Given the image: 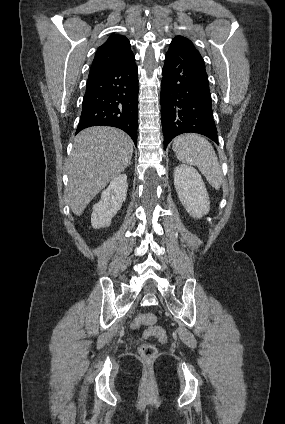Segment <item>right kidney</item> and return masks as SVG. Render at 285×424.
I'll return each mask as SVG.
<instances>
[{"label": "right kidney", "mask_w": 285, "mask_h": 424, "mask_svg": "<svg viewBox=\"0 0 285 424\" xmlns=\"http://www.w3.org/2000/svg\"><path fill=\"white\" fill-rule=\"evenodd\" d=\"M127 176L120 174L112 179L109 186L101 194V199L93 205L91 224L95 229L110 226L112 218L121 209L126 199Z\"/></svg>", "instance_id": "ca27d5eb"}]
</instances>
